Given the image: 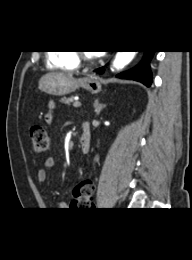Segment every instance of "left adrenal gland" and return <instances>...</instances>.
<instances>
[{"label":"left adrenal gland","instance_id":"1","mask_svg":"<svg viewBox=\"0 0 192 260\" xmlns=\"http://www.w3.org/2000/svg\"><path fill=\"white\" fill-rule=\"evenodd\" d=\"M106 105L99 104L98 99L94 102V108L96 115H99Z\"/></svg>","mask_w":192,"mask_h":260}]
</instances>
